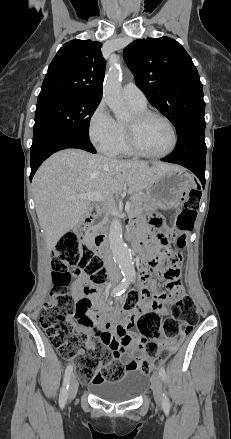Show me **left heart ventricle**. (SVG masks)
Returning a JSON list of instances; mask_svg holds the SVG:
<instances>
[{
	"label": "left heart ventricle",
	"instance_id": "1",
	"mask_svg": "<svg viewBox=\"0 0 231 439\" xmlns=\"http://www.w3.org/2000/svg\"><path fill=\"white\" fill-rule=\"evenodd\" d=\"M132 119L133 117L129 122ZM138 140L146 152L160 154L171 147L172 133L164 120L158 117H150L140 125L138 129Z\"/></svg>",
	"mask_w": 231,
	"mask_h": 439
}]
</instances>
